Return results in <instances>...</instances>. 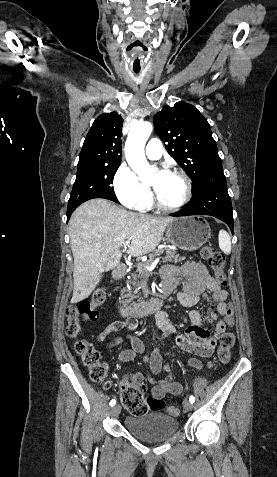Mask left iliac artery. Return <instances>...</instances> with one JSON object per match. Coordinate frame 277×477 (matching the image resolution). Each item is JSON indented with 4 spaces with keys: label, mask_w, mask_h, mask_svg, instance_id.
Wrapping results in <instances>:
<instances>
[{
    "label": "left iliac artery",
    "mask_w": 277,
    "mask_h": 477,
    "mask_svg": "<svg viewBox=\"0 0 277 477\" xmlns=\"http://www.w3.org/2000/svg\"><path fill=\"white\" fill-rule=\"evenodd\" d=\"M189 401H190L191 403H194V401H195L194 396H190Z\"/></svg>",
    "instance_id": "obj_1"
}]
</instances>
